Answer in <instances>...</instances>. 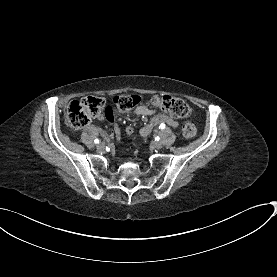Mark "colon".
<instances>
[{
	"label": "colon",
	"instance_id": "colon-1",
	"mask_svg": "<svg viewBox=\"0 0 277 277\" xmlns=\"http://www.w3.org/2000/svg\"><path fill=\"white\" fill-rule=\"evenodd\" d=\"M150 102L163 114L173 117L187 118L191 112L190 106L183 99L172 95H156ZM113 103L118 105L122 111L129 110L136 105L131 94L117 95L113 97ZM104 108L105 101L102 94H89V97L83 101L71 99L68 112L71 127L80 129L88 125L90 121L99 120ZM182 133L185 137L191 138L195 135L196 128L192 123L185 121L182 125Z\"/></svg>",
	"mask_w": 277,
	"mask_h": 277
}]
</instances>
